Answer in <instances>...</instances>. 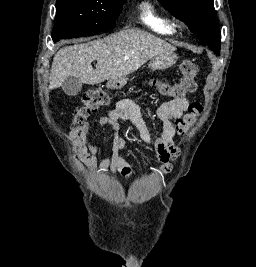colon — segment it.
Here are the masks:
<instances>
[{
	"mask_svg": "<svg viewBox=\"0 0 256 267\" xmlns=\"http://www.w3.org/2000/svg\"><path fill=\"white\" fill-rule=\"evenodd\" d=\"M199 73L197 63L191 59H184L179 64L180 78L176 84L165 81H153L160 93L175 100H183L187 94L197 89L196 76ZM111 101V94L102 87H96L86 93L82 103L76 107L72 115V128L76 130L83 126L88 116ZM203 111L199 101L188 105L187 113L175 121V129L179 135H185Z\"/></svg>",
	"mask_w": 256,
	"mask_h": 267,
	"instance_id": "1",
	"label": "colon"
}]
</instances>
